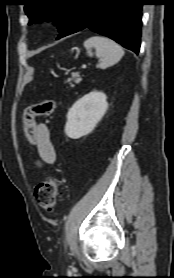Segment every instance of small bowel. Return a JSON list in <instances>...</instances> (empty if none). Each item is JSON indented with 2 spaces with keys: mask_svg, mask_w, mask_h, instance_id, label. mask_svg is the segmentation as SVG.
<instances>
[{
  "mask_svg": "<svg viewBox=\"0 0 174 278\" xmlns=\"http://www.w3.org/2000/svg\"><path fill=\"white\" fill-rule=\"evenodd\" d=\"M36 133L37 151L40 160L46 164H53L56 160V153L46 124L40 123L36 125Z\"/></svg>",
  "mask_w": 174,
  "mask_h": 278,
  "instance_id": "small-bowel-1",
  "label": "small bowel"
}]
</instances>
